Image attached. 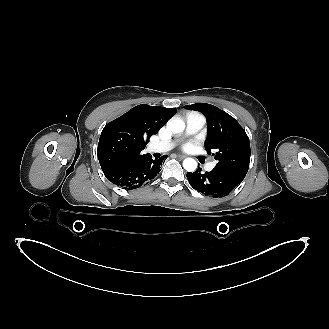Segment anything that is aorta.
<instances>
[{"label":"aorta","instance_id":"762f6f07","mask_svg":"<svg viewBox=\"0 0 329 329\" xmlns=\"http://www.w3.org/2000/svg\"><path fill=\"white\" fill-rule=\"evenodd\" d=\"M185 123L181 119H170L167 122V129L173 133H180L184 130ZM197 161L193 158H186L183 161V167L188 172H194L197 169Z\"/></svg>","mask_w":329,"mask_h":329}]
</instances>
